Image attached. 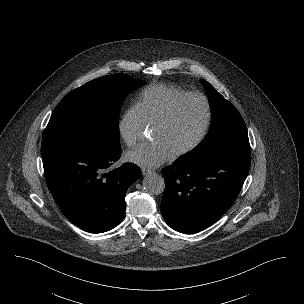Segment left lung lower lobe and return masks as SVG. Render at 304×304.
Returning a JSON list of instances; mask_svg holds the SVG:
<instances>
[{
	"mask_svg": "<svg viewBox=\"0 0 304 304\" xmlns=\"http://www.w3.org/2000/svg\"><path fill=\"white\" fill-rule=\"evenodd\" d=\"M250 165V152L225 151L197 163L180 158L164 168L161 210L166 223L182 233L212 225L233 205Z\"/></svg>",
	"mask_w": 304,
	"mask_h": 304,
	"instance_id": "0a47b994",
	"label": "left lung lower lobe"
}]
</instances>
